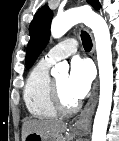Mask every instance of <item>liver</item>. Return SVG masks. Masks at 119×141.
Returning a JSON list of instances; mask_svg holds the SVG:
<instances>
[{"mask_svg":"<svg viewBox=\"0 0 119 141\" xmlns=\"http://www.w3.org/2000/svg\"><path fill=\"white\" fill-rule=\"evenodd\" d=\"M67 129V123L59 120L28 119L22 126V141L32 132L40 134H61Z\"/></svg>","mask_w":119,"mask_h":141,"instance_id":"1","label":"liver"}]
</instances>
